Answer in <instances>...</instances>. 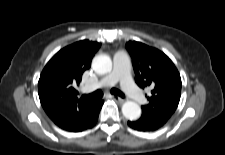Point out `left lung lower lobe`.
Wrapping results in <instances>:
<instances>
[{"instance_id":"obj_1","label":"left lung lower lobe","mask_w":225,"mask_h":155,"mask_svg":"<svg viewBox=\"0 0 225 155\" xmlns=\"http://www.w3.org/2000/svg\"><path fill=\"white\" fill-rule=\"evenodd\" d=\"M169 117L162 115L144 116L142 115L136 121H128V125L138 131H155L162 127Z\"/></svg>"}]
</instances>
